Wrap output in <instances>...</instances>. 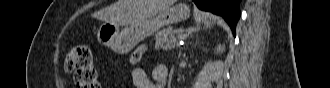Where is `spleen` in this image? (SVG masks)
<instances>
[{
    "instance_id": "obj_1",
    "label": "spleen",
    "mask_w": 330,
    "mask_h": 88,
    "mask_svg": "<svg viewBox=\"0 0 330 88\" xmlns=\"http://www.w3.org/2000/svg\"><path fill=\"white\" fill-rule=\"evenodd\" d=\"M203 18H204V23H205L206 28H208L210 26L211 20L217 19L216 17H214L213 15L208 14V13L203 14Z\"/></svg>"
}]
</instances>
